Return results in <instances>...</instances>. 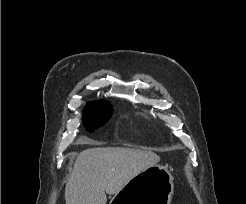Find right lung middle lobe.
Wrapping results in <instances>:
<instances>
[{
    "mask_svg": "<svg viewBox=\"0 0 246 204\" xmlns=\"http://www.w3.org/2000/svg\"><path fill=\"white\" fill-rule=\"evenodd\" d=\"M112 107L107 101L91 102L87 105L83 118L87 131L92 132L105 124L111 117Z\"/></svg>",
    "mask_w": 246,
    "mask_h": 204,
    "instance_id": "1",
    "label": "right lung middle lobe"
}]
</instances>
